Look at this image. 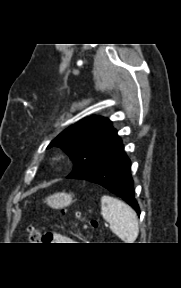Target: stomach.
Returning <instances> with one entry per match:
<instances>
[{"label": "stomach", "mask_w": 181, "mask_h": 288, "mask_svg": "<svg viewBox=\"0 0 181 288\" xmlns=\"http://www.w3.org/2000/svg\"><path fill=\"white\" fill-rule=\"evenodd\" d=\"M45 202L54 209H60L69 206L73 202V200L71 194L61 192V193H54L48 196Z\"/></svg>", "instance_id": "0dacf381"}]
</instances>
